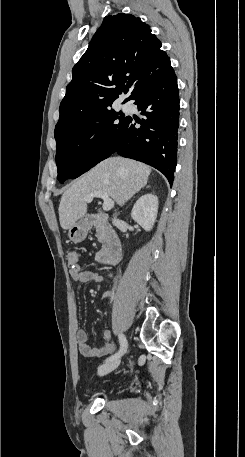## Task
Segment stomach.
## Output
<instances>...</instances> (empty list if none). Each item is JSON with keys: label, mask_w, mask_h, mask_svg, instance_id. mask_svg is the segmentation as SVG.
I'll return each mask as SVG.
<instances>
[{"label": "stomach", "mask_w": 245, "mask_h": 457, "mask_svg": "<svg viewBox=\"0 0 245 457\" xmlns=\"http://www.w3.org/2000/svg\"><path fill=\"white\" fill-rule=\"evenodd\" d=\"M89 229H91V222L81 218V220H78V222H75L71 226V229L68 231V237L73 243H81V241L86 239Z\"/></svg>", "instance_id": "1"}]
</instances>
